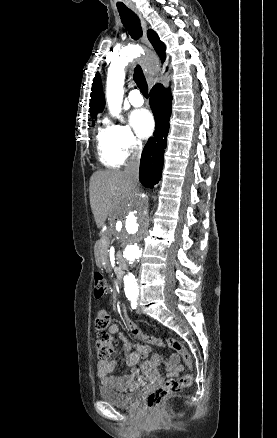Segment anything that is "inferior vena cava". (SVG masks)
<instances>
[{"mask_svg": "<svg viewBox=\"0 0 277 438\" xmlns=\"http://www.w3.org/2000/svg\"><path fill=\"white\" fill-rule=\"evenodd\" d=\"M139 166H140V152H135L133 156H130L129 162L125 168V174L127 180H129L130 186H136L139 182Z\"/></svg>", "mask_w": 277, "mask_h": 438, "instance_id": "1", "label": "inferior vena cava"}]
</instances>
